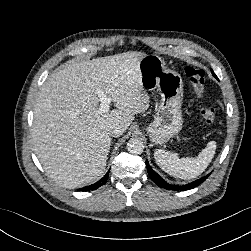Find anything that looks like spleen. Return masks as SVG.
Returning a JSON list of instances; mask_svg holds the SVG:
<instances>
[{
	"mask_svg": "<svg viewBox=\"0 0 251 251\" xmlns=\"http://www.w3.org/2000/svg\"><path fill=\"white\" fill-rule=\"evenodd\" d=\"M215 151L216 142L210 141L197 157L179 158L176 153L157 149L154 158L157 165L169 175L181 179H193L205 171Z\"/></svg>",
	"mask_w": 251,
	"mask_h": 251,
	"instance_id": "obj_1",
	"label": "spleen"
}]
</instances>
